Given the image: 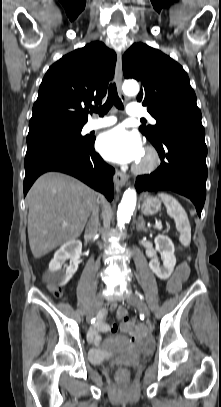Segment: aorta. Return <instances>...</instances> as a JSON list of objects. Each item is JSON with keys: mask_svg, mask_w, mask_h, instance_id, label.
<instances>
[{"mask_svg": "<svg viewBox=\"0 0 221 407\" xmlns=\"http://www.w3.org/2000/svg\"><path fill=\"white\" fill-rule=\"evenodd\" d=\"M123 91L128 95H137L139 92V85L136 81H125L122 86ZM137 195L135 189H127L122 197L121 203L118 206L117 211V225L120 228H124L133 214L136 206Z\"/></svg>", "mask_w": 221, "mask_h": 407, "instance_id": "1", "label": "aorta"}]
</instances>
